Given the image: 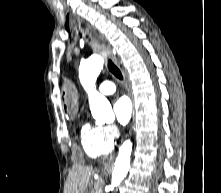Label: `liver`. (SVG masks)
Returning a JSON list of instances; mask_svg holds the SVG:
<instances>
[{"label": "liver", "mask_w": 221, "mask_h": 193, "mask_svg": "<svg viewBox=\"0 0 221 193\" xmlns=\"http://www.w3.org/2000/svg\"><path fill=\"white\" fill-rule=\"evenodd\" d=\"M92 167L76 165L69 173L67 193H84L89 185Z\"/></svg>", "instance_id": "obj_1"}]
</instances>
